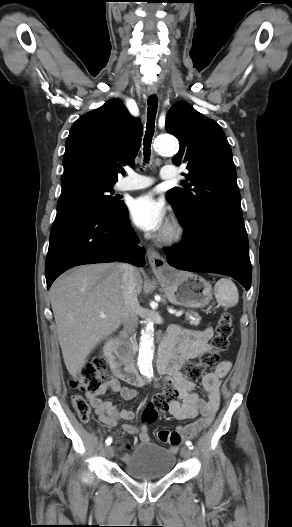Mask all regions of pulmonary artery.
I'll use <instances>...</instances> for the list:
<instances>
[{
	"label": "pulmonary artery",
	"mask_w": 292,
	"mask_h": 527,
	"mask_svg": "<svg viewBox=\"0 0 292 527\" xmlns=\"http://www.w3.org/2000/svg\"><path fill=\"white\" fill-rule=\"evenodd\" d=\"M175 175V168L170 165L163 166L160 172V177L165 180L173 179ZM153 183V178L130 171L128 176L120 181L117 187L119 190L129 191L144 189L151 186Z\"/></svg>",
	"instance_id": "pulmonary-artery-1"
}]
</instances>
